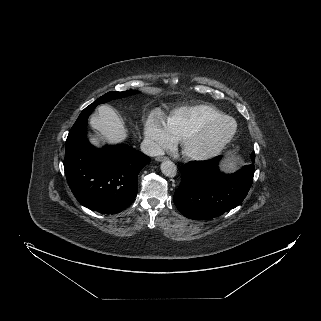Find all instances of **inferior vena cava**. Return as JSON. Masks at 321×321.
Here are the masks:
<instances>
[{"label": "inferior vena cava", "mask_w": 321, "mask_h": 321, "mask_svg": "<svg viewBox=\"0 0 321 321\" xmlns=\"http://www.w3.org/2000/svg\"><path fill=\"white\" fill-rule=\"evenodd\" d=\"M140 148L145 155L150 157L159 156L164 153L162 148L156 142L150 139L143 140Z\"/></svg>", "instance_id": "inferior-vena-cava-1"}]
</instances>
